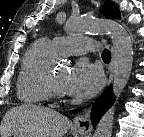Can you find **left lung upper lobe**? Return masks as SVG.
<instances>
[{
	"mask_svg": "<svg viewBox=\"0 0 144 137\" xmlns=\"http://www.w3.org/2000/svg\"><path fill=\"white\" fill-rule=\"evenodd\" d=\"M102 13L106 18H120L119 10L111 1H106L103 6Z\"/></svg>",
	"mask_w": 144,
	"mask_h": 137,
	"instance_id": "left-lung-upper-lobe-1",
	"label": "left lung upper lobe"
}]
</instances>
